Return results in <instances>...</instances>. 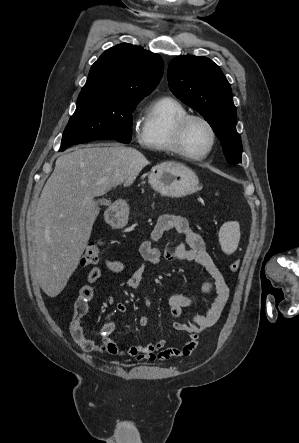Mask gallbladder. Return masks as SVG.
<instances>
[{"label":"gallbladder","instance_id":"bac80fb5","mask_svg":"<svg viewBox=\"0 0 299 443\" xmlns=\"http://www.w3.org/2000/svg\"><path fill=\"white\" fill-rule=\"evenodd\" d=\"M100 203L103 204V205H108L109 201L108 200H102V201H100Z\"/></svg>","mask_w":299,"mask_h":443}]
</instances>
